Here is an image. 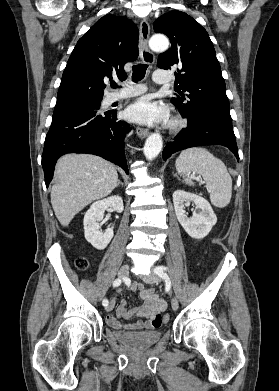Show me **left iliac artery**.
Instances as JSON below:
<instances>
[{
  "label": "left iliac artery",
  "instance_id": "obj_1",
  "mask_svg": "<svg viewBox=\"0 0 279 391\" xmlns=\"http://www.w3.org/2000/svg\"><path fill=\"white\" fill-rule=\"evenodd\" d=\"M166 270L167 268L165 266H158L155 268V273L161 278H163L164 280H169V277L165 272Z\"/></svg>",
  "mask_w": 279,
  "mask_h": 391
}]
</instances>
